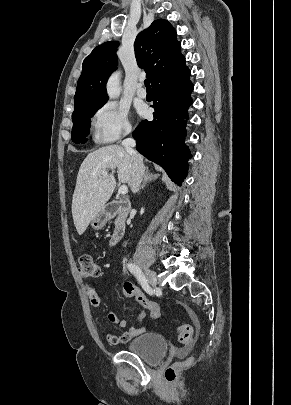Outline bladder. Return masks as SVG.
<instances>
[{
    "label": "bladder",
    "instance_id": "bladder-1",
    "mask_svg": "<svg viewBox=\"0 0 291 405\" xmlns=\"http://www.w3.org/2000/svg\"><path fill=\"white\" fill-rule=\"evenodd\" d=\"M126 350L137 355L144 362L158 364L167 354L168 344L163 335L157 332H144L133 338Z\"/></svg>",
    "mask_w": 291,
    "mask_h": 405
}]
</instances>
